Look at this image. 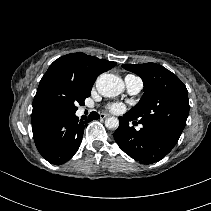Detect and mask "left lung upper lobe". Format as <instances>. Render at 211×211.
Wrapping results in <instances>:
<instances>
[{
	"label": "left lung upper lobe",
	"instance_id": "5c2ea615",
	"mask_svg": "<svg viewBox=\"0 0 211 211\" xmlns=\"http://www.w3.org/2000/svg\"><path fill=\"white\" fill-rule=\"evenodd\" d=\"M122 66L139 75L144 83L141 100L128 114L140 124L161 128L179 138L190 108L186 86L175 74L156 63Z\"/></svg>",
	"mask_w": 211,
	"mask_h": 211
}]
</instances>
